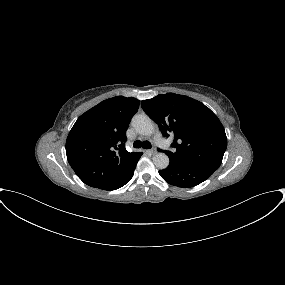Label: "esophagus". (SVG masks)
I'll return each instance as SVG.
<instances>
[{
    "label": "esophagus",
    "instance_id": "esophagus-1",
    "mask_svg": "<svg viewBox=\"0 0 285 285\" xmlns=\"http://www.w3.org/2000/svg\"><path fill=\"white\" fill-rule=\"evenodd\" d=\"M149 152H150L152 155H155V154L157 153V151H156L155 148L150 149Z\"/></svg>",
    "mask_w": 285,
    "mask_h": 285
}]
</instances>
